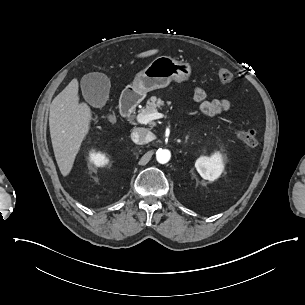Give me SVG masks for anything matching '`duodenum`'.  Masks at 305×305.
Masks as SVG:
<instances>
[{
	"label": "duodenum",
	"mask_w": 305,
	"mask_h": 305,
	"mask_svg": "<svg viewBox=\"0 0 305 305\" xmlns=\"http://www.w3.org/2000/svg\"><path fill=\"white\" fill-rule=\"evenodd\" d=\"M139 101L140 95L136 91H129L123 94L120 101L122 115L125 117H131Z\"/></svg>",
	"instance_id": "duodenum-1"
}]
</instances>
